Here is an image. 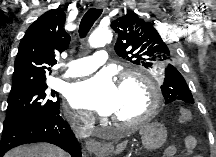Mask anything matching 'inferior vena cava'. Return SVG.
I'll use <instances>...</instances> for the list:
<instances>
[{
	"instance_id": "obj_1",
	"label": "inferior vena cava",
	"mask_w": 216,
	"mask_h": 157,
	"mask_svg": "<svg viewBox=\"0 0 216 157\" xmlns=\"http://www.w3.org/2000/svg\"><path fill=\"white\" fill-rule=\"evenodd\" d=\"M78 137H79V138H82V137H84V134L78 133Z\"/></svg>"
}]
</instances>
